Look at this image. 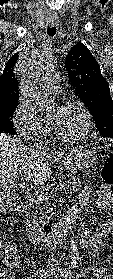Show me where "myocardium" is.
Masks as SVG:
<instances>
[{"instance_id": "1", "label": "myocardium", "mask_w": 113, "mask_h": 279, "mask_svg": "<svg viewBox=\"0 0 113 279\" xmlns=\"http://www.w3.org/2000/svg\"><path fill=\"white\" fill-rule=\"evenodd\" d=\"M67 106H75L82 112V114L84 116V119H85L84 130L79 135H76V136H63V135L59 134L52 127V125H50L47 122L49 130L52 132L54 137L59 141H62V142H65V143H75V142L82 141V140L86 139L93 130L94 124H93L92 116H91L89 110L86 108V106L82 102H80L79 100L67 99V100H64L58 107L59 108H65Z\"/></svg>"}]
</instances>
